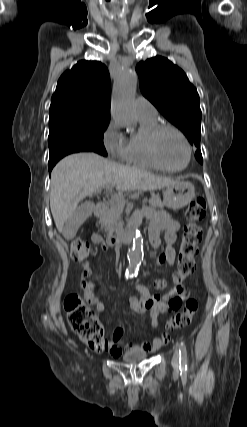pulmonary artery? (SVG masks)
<instances>
[{
  "mask_svg": "<svg viewBox=\"0 0 247 427\" xmlns=\"http://www.w3.org/2000/svg\"><path fill=\"white\" fill-rule=\"evenodd\" d=\"M135 112L138 118H156L157 115L154 105L143 96L136 98Z\"/></svg>",
  "mask_w": 247,
  "mask_h": 427,
  "instance_id": "pulmonary-artery-1",
  "label": "pulmonary artery"
}]
</instances>
